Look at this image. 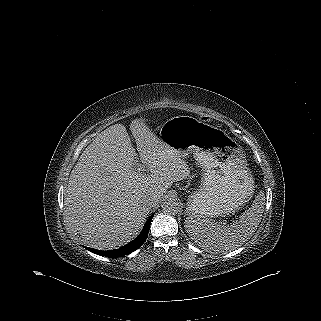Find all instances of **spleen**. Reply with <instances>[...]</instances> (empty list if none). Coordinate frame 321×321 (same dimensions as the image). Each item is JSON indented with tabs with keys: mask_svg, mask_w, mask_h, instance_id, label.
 Segmentation results:
<instances>
[{
	"mask_svg": "<svg viewBox=\"0 0 321 321\" xmlns=\"http://www.w3.org/2000/svg\"><path fill=\"white\" fill-rule=\"evenodd\" d=\"M265 208V196L260 193L251 208L230 226H221L209 219L190 215L184 227L192 240L201 248L216 253H225L241 246L257 230Z\"/></svg>",
	"mask_w": 321,
	"mask_h": 321,
	"instance_id": "obj_1",
	"label": "spleen"
}]
</instances>
